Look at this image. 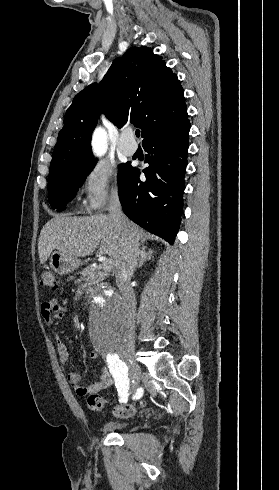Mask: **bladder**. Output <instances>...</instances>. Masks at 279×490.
Instances as JSON below:
<instances>
[{
  "mask_svg": "<svg viewBox=\"0 0 279 490\" xmlns=\"http://www.w3.org/2000/svg\"><path fill=\"white\" fill-rule=\"evenodd\" d=\"M128 420H115V421H106L102 424L101 430L107 431L109 433H115L120 429H125L129 426Z\"/></svg>",
  "mask_w": 279,
  "mask_h": 490,
  "instance_id": "1",
  "label": "bladder"
}]
</instances>
